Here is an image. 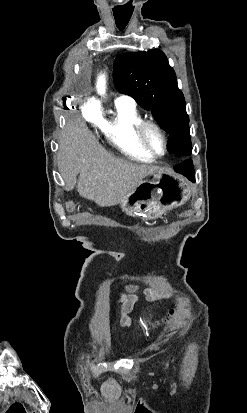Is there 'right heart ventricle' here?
I'll list each match as a JSON object with an SVG mask.
<instances>
[{
  "instance_id": "right-heart-ventricle-1",
  "label": "right heart ventricle",
  "mask_w": 247,
  "mask_h": 413,
  "mask_svg": "<svg viewBox=\"0 0 247 413\" xmlns=\"http://www.w3.org/2000/svg\"><path fill=\"white\" fill-rule=\"evenodd\" d=\"M121 112L118 118L105 127L107 139L127 158L144 163H151L155 158L146 154L137 144L135 130L141 123V118L127 111L123 105L118 104Z\"/></svg>"
}]
</instances>
